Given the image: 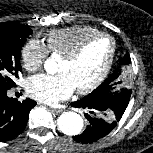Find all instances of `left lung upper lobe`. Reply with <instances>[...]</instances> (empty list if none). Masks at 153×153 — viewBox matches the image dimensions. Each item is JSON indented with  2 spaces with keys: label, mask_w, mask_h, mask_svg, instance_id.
<instances>
[{
  "label": "left lung upper lobe",
  "mask_w": 153,
  "mask_h": 153,
  "mask_svg": "<svg viewBox=\"0 0 153 153\" xmlns=\"http://www.w3.org/2000/svg\"><path fill=\"white\" fill-rule=\"evenodd\" d=\"M120 62L122 64H129L131 62L129 54L126 53L124 58H120ZM118 77L119 74L114 73L93 92L84 97L87 100L100 101L108 104L105 109V116L116 123L120 121L131 96V90L126 88L113 92L114 86L122 83Z\"/></svg>",
  "instance_id": "5c2ea615"
}]
</instances>
